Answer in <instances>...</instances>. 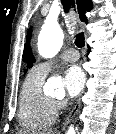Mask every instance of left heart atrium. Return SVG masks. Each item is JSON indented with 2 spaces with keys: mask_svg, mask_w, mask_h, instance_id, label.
Returning <instances> with one entry per match:
<instances>
[{
  "mask_svg": "<svg viewBox=\"0 0 116 134\" xmlns=\"http://www.w3.org/2000/svg\"><path fill=\"white\" fill-rule=\"evenodd\" d=\"M85 80V74L79 66L73 65L67 68L63 75L67 95L71 98L76 97L83 90Z\"/></svg>",
  "mask_w": 116,
  "mask_h": 134,
  "instance_id": "obj_1",
  "label": "left heart atrium"
}]
</instances>
